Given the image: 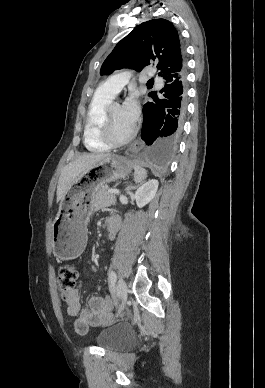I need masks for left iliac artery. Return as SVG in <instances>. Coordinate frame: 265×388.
<instances>
[{
  "instance_id": "left-iliac-artery-1",
  "label": "left iliac artery",
  "mask_w": 265,
  "mask_h": 388,
  "mask_svg": "<svg viewBox=\"0 0 265 388\" xmlns=\"http://www.w3.org/2000/svg\"><path fill=\"white\" fill-rule=\"evenodd\" d=\"M109 277H110V290L112 291V293H114L115 292V290H114L115 282L117 279L116 273L113 270L110 271Z\"/></svg>"
}]
</instances>
